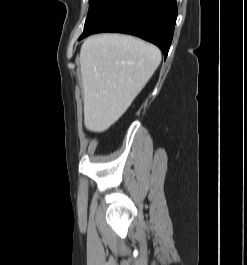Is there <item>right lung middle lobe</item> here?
<instances>
[{
    "mask_svg": "<svg viewBox=\"0 0 247 265\" xmlns=\"http://www.w3.org/2000/svg\"><path fill=\"white\" fill-rule=\"evenodd\" d=\"M101 0H90V7H89V13L95 8V6L100 2ZM88 13V14H89Z\"/></svg>",
    "mask_w": 247,
    "mask_h": 265,
    "instance_id": "right-lung-middle-lobe-1",
    "label": "right lung middle lobe"
}]
</instances>
